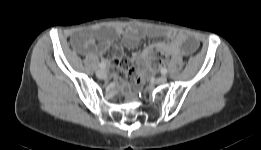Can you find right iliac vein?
I'll return each instance as SVG.
<instances>
[{
  "label": "right iliac vein",
  "instance_id": "right-iliac-vein-1",
  "mask_svg": "<svg viewBox=\"0 0 261 150\" xmlns=\"http://www.w3.org/2000/svg\"><path fill=\"white\" fill-rule=\"evenodd\" d=\"M96 75L100 79H105L107 77V72L105 70H98Z\"/></svg>",
  "mask_w": 261,
  "mask_h": 150
}]
</instances>
